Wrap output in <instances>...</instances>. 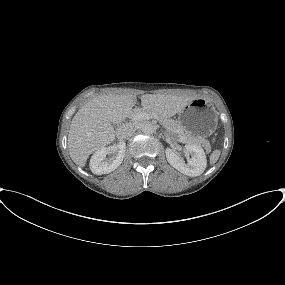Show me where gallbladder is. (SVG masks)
I'll return each instance as SVG.
<instances>
[{"label":"gallbladder","instance_id":"obj_1","mask_svg":"<svg viewBox=\"0 0 285 285\" xmlns=\"http://www.w3.org/2000/svg\"><path fill=\"white\" fill-rule=\"evenodd\" d=\"M112 126H114V127H115V124H114V123H112Z\"/></svg>","mask_w":285,"mask_h":285}]
</instances>
